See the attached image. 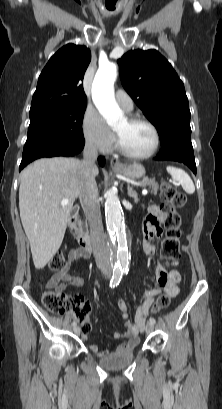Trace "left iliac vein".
<instances>
[{"mask_svg":"<svg viewBox=\"0 0 222 409\" xmlns=\"http://www.w3.org/2000/svg\"><path fill=\"white\" fill-rule=\"evenodd\" d=\"M153 330H154V324L151 323V322L147 323V325H146V332H147V333H151Z\"/></svg>","mask_w":222,"mask_h":409,"instance_id":"1","label":"left iliac vein"}]
</instances>
